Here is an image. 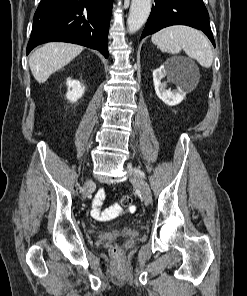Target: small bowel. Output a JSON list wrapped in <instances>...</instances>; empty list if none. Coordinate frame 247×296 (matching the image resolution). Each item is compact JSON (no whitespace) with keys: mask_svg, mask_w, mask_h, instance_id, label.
<instances>
[{"mask_svg":"<svg viewBox=\"0 0 247 296\" xmlns=\"http://www.w3.org/2000/svg\"><path fill=\"white\" fill-rule=\"evenodd\" d=\"M105 192L104 190H100L97 194L96 200L93 204V210L92 214L95 219L97 220H104L105 218L103 217L106 213L111 212V208L102 210L101 209V200L104 198Z\"/></svg>","mask_w":247,"mask_h":296,"instance_id":"1","label":"small bowel"}]
</instances>
